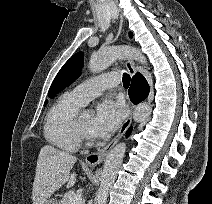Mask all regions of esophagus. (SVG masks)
Segmentation results:
<instances>
[{
    "mask_svg": "<svg viewBox=\"0 0 212 204\" xmlns=\"http://www.w3.org/2000/svg\"><path fill=\"white\" fill-rule=\"evenodd\" d=\"M120 25L121 27L123 26V32L127 33V30L125 29V25L123 23V19L121 18L120 20ZM125 66L127 68V71L129 72L130 76H134L136 73V68H135V64L134 61L132 59H127L125 62ZM134 104L132 102H130V109H129V113L126 116L125 120L123 121L117 135L112 139V141H110L105 147H103L101 150L91 153L89 154L85 161L86 164L89 166H97L98 164H100L105 156L107 155V153L114 147V145L120 140V138L123 136V134L126 132V130L128 129V127L130 126L131 122H132V113L134 110Z\"/></svg>",
    "mask_w": 212,
    "mask_h": 204,
    "instance_id": "esophagus-1",
    "label": "esophagus"
}]
</instances>
